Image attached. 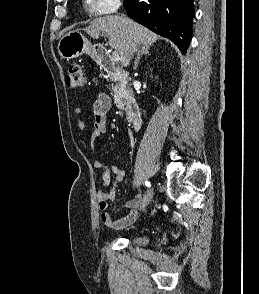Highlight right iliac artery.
Returning <instances> with one entry per match:
<instances>
[{"label":"right iliac artery","instance_id":"1","mask_svg":"<svg viewBox=\"0 0 259 294\" xmlns=\"http://www.w3.org/2000/svg\"><path fill=\"white\" fill-rule=\"evenodd\" d=\"M145 185L149 187L150 183L148 181H145Z\"/></svg>","mask_w":259,"mask_h":294}]
</instances>
